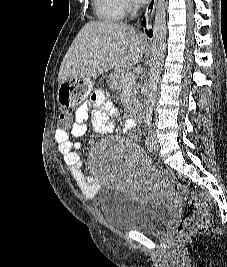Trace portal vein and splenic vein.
I'll return each instance as SVG.
<instances>
[{"label": "portal vein and splenic vein", "instance_id": "portal-vein-and-splenic-vein-1", "mask_svg": "<svg viewBox=\"0 0 227 267\" xmlns=\"http://www.w3.org/2000/svg\"><path fill=\"white\" fill-rule=\"evenodd\" d=\"M131 80H132V81H135V80H136V76H135V75H132V76H131Z\"/></svg>", "mask_w": 227, "mask_h": 267}]
</instances>
